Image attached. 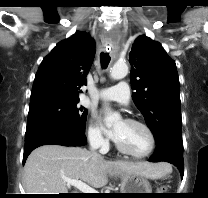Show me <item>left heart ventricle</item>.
I'll use <instances>...</instances> for the list:
<instances>
[{"instance_id": "1", "label": "left heart ventricle", "mask_w": 208, "mask_h": 198, "mask_svg": "<svg viewBox=\"0 0 208 198\" xmlns=\"http://www.w3.org/2000/svg\"><path fill=\"white\" fill-rule=\"evenodd\" d=\"M115 127L118 129L116 141L128 150L141 154L149 149V137L141 127L126 121L118 122Z\"/></svg>"}]
</instances>
